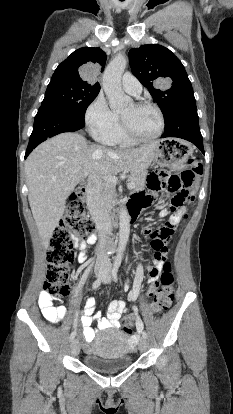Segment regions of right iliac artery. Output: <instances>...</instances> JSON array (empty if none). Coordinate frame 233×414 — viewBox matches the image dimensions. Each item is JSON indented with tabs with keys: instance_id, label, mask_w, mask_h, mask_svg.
<instances>
[{
	"instance_id": "obj_1",
	"label": "right iliac artery",
	"mask_w": 233,
	"mask_h": 414,
	"mask_svg": "<svg viewBox=\"0 0 233 414\" xmlns=\"http://www.w3.org/2000/svg\"><path fill=\"white\" fill-rule=\"evenodd\" d=\"M109 270H107L105 273H103L92 285L93 289H97L101 283L104 281L106 276L108 275ZM75 338V332L71 333L69 340L72 341Z\"/></svg>"
}]
</instances>
